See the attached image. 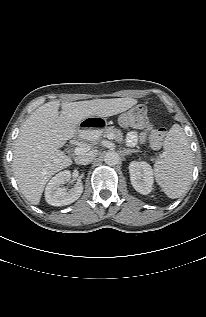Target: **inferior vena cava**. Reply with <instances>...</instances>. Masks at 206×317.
<instances>
[{
  "label": "inferior vena cava",
  "mask_w": 206,
  "mask_h": 317,
  "mask_svg": "<svg viewBox=\"0 0 206 317\" xmlns=\"http://www.w3.org/2000/svg\"><path fill=\"white\" fill-rule=\"evenodd\" d=\"M96 157V152L90 151L87 153L80 154L75 158V162L80 165H87L93 161Z\"/></svg>",
  "instance_id": "1"
}]
</instances>
